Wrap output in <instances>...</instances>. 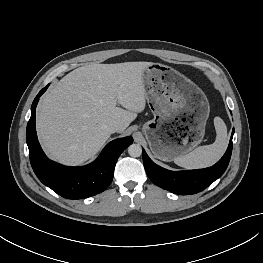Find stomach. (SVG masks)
<instances>
[{
  "label": "stomach",
  "mask_w": 263,
  "mask_h": 263,
  "mask_svg": "<svg viewBox=\"0 0 263 263\" xmlns=\"http://www.w3.org/2000/svg\"><path fill=\"white\" fill-rule=\"evenodd\" d=\"M146 99L154 118L143 125L152 154L172 161L201 142L210 106L204 92L176 69L150 63L143 71Z\"/></svg>",
  "instance_id": "1"
}]
</instances>
